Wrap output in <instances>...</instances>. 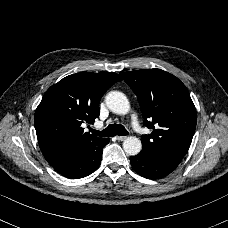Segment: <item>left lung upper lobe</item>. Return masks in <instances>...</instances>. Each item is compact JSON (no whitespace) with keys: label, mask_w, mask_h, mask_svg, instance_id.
I'll return each mask as SVG.
<instances>
[{"label":"left lung upper lobe","mask_w":228,"mask_h":228,"mask_svg":"<svg viewBox=\"0 0 228 228\" xmlns=\"http://www.w3.org/2000/svg\"><path fill=\"white\" fill-rule=\"evenodd\" d=\"M138 98L144 125L142 151L154 158L181 161L196 128V109L185 85L161 69L120 72Z\"/></svg>","instance_id":"5c2ea615"}]
</instances>
